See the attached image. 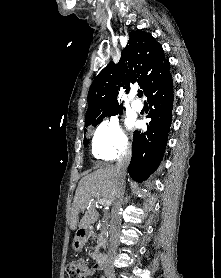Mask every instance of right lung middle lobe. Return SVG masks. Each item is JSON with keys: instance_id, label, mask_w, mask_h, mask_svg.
I'll return each mask as SVG.
<instances>
[{"instance_id": "right-lung-middle-lobe-1", "label": "right lung middle lobe", "mask_w": 221, "mask_h": 278, "mask_svg": "<svg viewBox=\"0 0 221 278\" xmlns=\"http://www.w3.org/2000/svg\"><path fill=\"white\" fill-rule=\"evenodd\" d=\"M118 113L121 114V113H122V110H121V111H118V112H115V113H111V114L104 115V116L100 117L99 119H97L94 123H92V124H85V126H86V127L89 126V125L96 126V125H98V124L102 121V119H103L104 117L110 116V115H116V114H118ZM85 132H86V130H85ZM87 143H88V140H87L86 137H84V145H87Z\"/></svg>"}]
</instances>
